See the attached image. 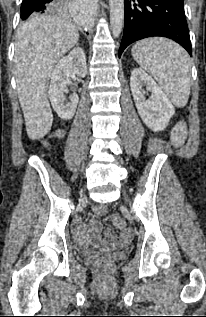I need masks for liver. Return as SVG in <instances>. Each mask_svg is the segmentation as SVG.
<instances>
[{"mask_svg":"<svg viewBox=\"0 0 206 317\" xmlns=\"http://www.w3.org/2000/svg\"><path fill=\"white\" fill-rule=\"evenodd\" d=\"M79 40L67 15H35L22 23L15 41L18 98L30 139L45 136L53 122L48 100L49 78L58 60Z\"/></svg>","mask_w":206,"mask_h":317,"instance_id":"liver-1","label":"liver"}]
</instances>
